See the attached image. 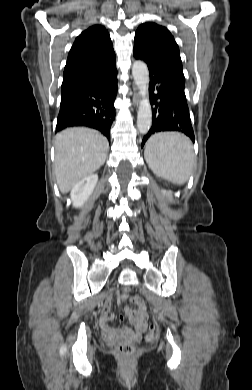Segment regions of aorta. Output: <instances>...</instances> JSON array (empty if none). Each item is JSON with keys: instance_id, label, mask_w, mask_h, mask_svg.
<instances>
[{"instance_id": "aorta-1", "label": "aorta", "mask_w": 252, "mask_h": 390, "mask_svg": "<svg viewBox=\"0 0 252 390\" xmlns=\"http://www.w3.org/2000/svg\"><path fill=\"white\" fill-rule=\"evenodd\" d=\"M132 76L141 97L138 113L137 128L140 133L146 134L152 123V110L149 100V72L147 65L142 61H135L132 67Z\"/></svg>"}]
</instances>
